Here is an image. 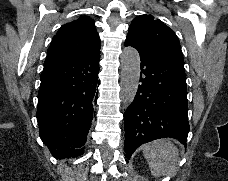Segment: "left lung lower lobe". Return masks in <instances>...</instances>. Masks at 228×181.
Segmentation results:
<instances>
[{
	"label": "left lung lower lobe",
	"instance_id": "1",
	"mask_svg": "<svg viewBox=\"0 0 228 181\" xmlns=\"http://www.w3.org/2000/svg\"><path fill=\"white\" fill-rule=\"evenodd\" d=\"M125 45L133 46L127 41ZM137 50L141 59V84L124 113L128 159L140 145L155 139L175 138L186 147L189 132L184 64Z\"/></svg>",
	"mask_w": 228,
	"mask_h": 181
}]
</instances>
